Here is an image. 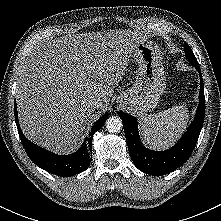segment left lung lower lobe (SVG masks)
<instances>
[{
  "label": "left lung lower lobe",
  "mask_w": 221,
  "mask_h": 221,
  "mask_svg": "<svg viewBox=\"0 0 221 221\" xmlns=\"http://www.w3.org/2000/svg\"><path fill=\"white\" fill-rule=\"evenodd\" d=\"M200 75L199 105L195 118L181 139L169 150L153 151L144 147L140 141L137 119L120 112L123 122L129 155L135 166L142 172L154 176L164 175L184 164L192 154L199 138L205 116V97L200 67H196Z\"/></svg>",
  "instance_id": "0a47b994"
}]
</instances>
